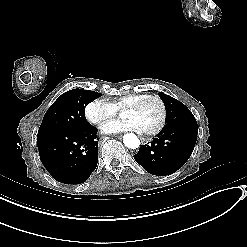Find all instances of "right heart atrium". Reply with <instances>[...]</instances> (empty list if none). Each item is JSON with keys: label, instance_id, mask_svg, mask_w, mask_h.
<instances>
[{"label": "right heart atrium", "instance_id": "obj_1", "mask_svg": "<svg viewBox=\"0 0 247 247\" xmlns=\"http://www.w3.org/2000/svg\"><path fill=\"white\" fill-rule=\"evenodd\" d=\"M115 114V106L100 98L91 99L84 107L86 119L94 125H101Z\"/></svg>", "mask_w": 247, "mask_h": 247}]
</instances>
